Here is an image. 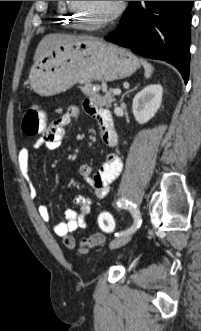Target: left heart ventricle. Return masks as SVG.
I'll use <instances>...</instances> for the list:
<instances>
[{
	"label": "left heart ventricle",
	"instance_id": "left-heart-ventricle-1",
	"mask_svg": "<svg viewBox=\"0 0 201 331\" xmlns=\"http://www.w3.org/2000/svg\"><path fill=\"white\" fill-rule=\"evenodd\" d=\"M83 17L95 23L107 16L115 7L116 1H75Z\"/></svg>",
	"mask_w": 201,
	"mask_h": 331
}]
</instances>
